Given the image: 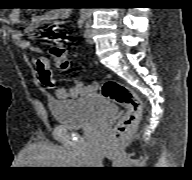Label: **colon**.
Segmentation results:
<instances>
[{
	"label": "colon",
	"mask_w": 192,
	"mask_h": 180,
	"mask_svg": "<svg viewBox=\"0 0 192 180\" xmlns=\"http://www.w3.org/2000/svg\"><path fill=\"white\" fill-rule=\"evenodd\" d=\"M42 35L43 38L53 43L51 54L58 67L62 70L68 69L67 52L63 47L66 42L65 33L61 32L55 25L48 23L43 26ZM101 94L125 108V113L116 124L111 136V141L117 142L139 123L142 116V103L131 88L116 80L104 81L101 85Z\"/></svg>",
	"instance_id": "colon-1"
}]
</instances>
